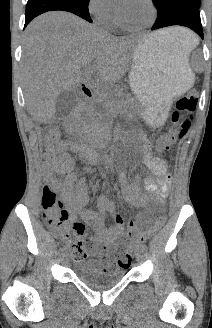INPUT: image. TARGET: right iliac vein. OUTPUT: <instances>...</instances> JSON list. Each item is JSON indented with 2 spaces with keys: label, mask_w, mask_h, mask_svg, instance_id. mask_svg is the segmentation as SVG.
I'll return each instance as SVG.
<instances>
[{
  "label": "right iliac vein",
  "mask_w": 212,
  "mask_h": 328,
  "mask_svg": "<svg viewBox=\"0 0 212 328\" xmlns=\"http://www.w3.org/2000/svg\"><path fill=\"white\" fill-rule=\"evenodd\" d=\"M62 259H63V261L64 262H67L68 261V256H67V254H62Z\"/></svg>",
  "instance_id": "63e3f726"
}]
</instances>
